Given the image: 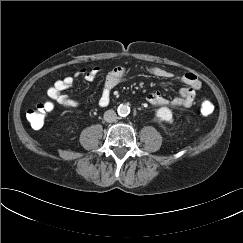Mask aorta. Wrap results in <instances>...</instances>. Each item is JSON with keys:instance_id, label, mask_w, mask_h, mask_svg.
Segmentation results:
<instances>
[{"instance_id": "1", "label": "aorta", "mask_w": 243, "mask_h": 243, "mask_svg": "<svg viewBox=\"0 0 243 243\" xmlns=\"http://www.w3.org/2000/svg\"><path fill=\"white\" fill-rule=\"evenodd\" d=\"M117 112L120 116H127L130 113V107L127 104H120L117 108Z\"/></svg>"}]
</instances>
